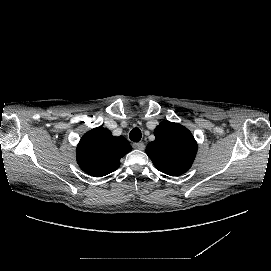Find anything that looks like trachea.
<instances>
[{
	"label": "trachea",
	"instance_id": "trachea-1",
	"mask_svg": "<svg viewBox=\"0 0 271 271\" xmlns=\"http://www.w3.org/2000/svg\"><path fill=\"white\" fill-rule=\"evenodd\" d=\"M142 133L138 128H134L130 132V139L134 142H139L141 140Z\"/></svg>",
	"mask_w": 271,
	"mask_h": 271
}]
</instances>
